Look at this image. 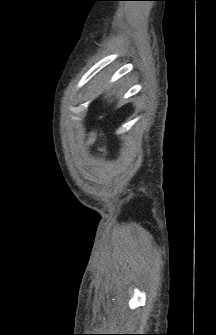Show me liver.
Here are the masks:
<instances>
[{
	"instance_id": "obj_1",
	"label": "liver",
	"mask_w": 216,
	"mask_h": 335,
	"mask_svg": "<svg viewBox=\"0 0 216 335\" xmlns=\"http://www.w3.org/2000/svg\"><path fill=\"white\" fill-rule=\"evenodd\" d=\"M111 96H112V94H110V93H107V95H106V97H105V98H107V99H109V101H111Z\"/></svg>"
}]
</instances>
